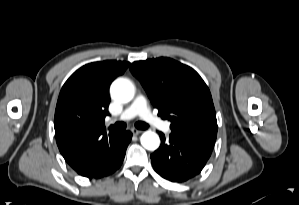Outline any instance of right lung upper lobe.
Instances as JSON below:
<instances>
[{
    "instance_id": "1",
    "label": "right lung upper lobe",
    "mask_w": 299,
    "mask_h": 205,
    "mask_svg": "<svg viewBox=\"0 0 299 205\" xmlns=\"http://www.w3.org/2000/svg\"><path fill=\"white\" fill-rule=\"evenodd\" d=\"M129 64L90 63L73 73L63 85L55 110V136L62 156L74 170L118 136L113 132L107 135L104 127L110 103L108 90Z\"/></svg>"
}]
</instances>
